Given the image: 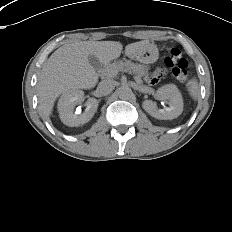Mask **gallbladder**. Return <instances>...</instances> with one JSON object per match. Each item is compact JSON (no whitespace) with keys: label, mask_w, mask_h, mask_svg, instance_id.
<instances>
[{"label":"gallbladder","mask_w":232,"mask_h":232,"mask_svg":"<svg viewBox=\"0 0 232 232\" xmlns=\"http://www.w3.org/2000/svg\"><path fill=\"white\" fill-rule=\"evenodd\" d=\"M88 60H89V63L93 66V68L95 70H98L100 68L101 63L95 55H93V54L89 55Z\"/></svg>","instance_id":"1"}]
</instances>
